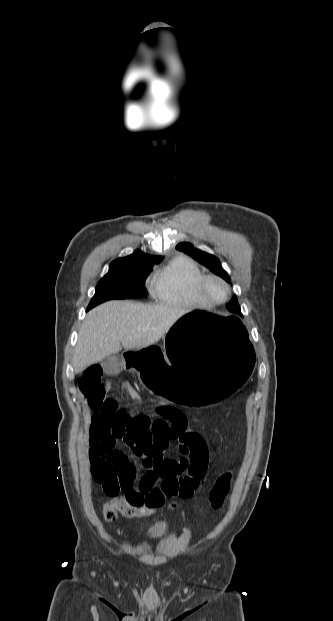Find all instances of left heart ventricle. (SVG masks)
<instances>
[{"mask_svg": "<svg viewBox=\"0 0 333 621\" xmlns=\"http://www.w3.org/2000/svg\"><path fill=\"white\" fill-rule=\"evenodd\" d=\"M207 289L209 294L216 299H220L224 296V287L217 281H210Z\"/></svg>", "mask_w": 333, "mask_h": 621, "instance_id": "left-heart-ventricle-1", "label": "left heart ventricle"}]
</instances>
